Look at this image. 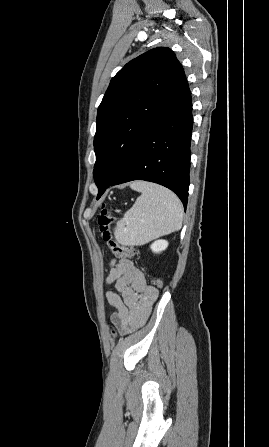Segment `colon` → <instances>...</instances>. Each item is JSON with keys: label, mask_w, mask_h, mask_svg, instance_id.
Returning <instances> with one entry per match:
<instances>
[{"label": "colon", "mask_w": 269, "mask_h": 447, "mask_svg": "<svg viewBox=\"0 0 269 447\" xmlns=\"http://www.w3.org/2000/svg\"><path fill=\"white\" fill-rule=\"evenodd\" d=\"M97 222L103 240L107 243L109 249L115 256L127 260L139 259V252L136 249L122 245L114 239L112 228L115 225V209L113 207L102 204L100 206ZM152 282L156 289L162 288L163 282L161 278L154 277Z\"/></svg>", "instance_id": "colon-1"}]
</instances>
